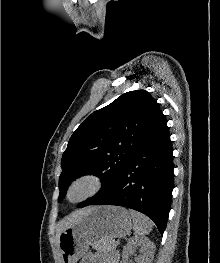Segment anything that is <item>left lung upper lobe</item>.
<instances>
[{
    "mask_svg": "<svg viewBox=\"0 0 220 263\" xmlns=\"http://www.w3.org/2000/svg\"><path fill=\"white\" fill-rule=\"evenodd\" d=\"M164 121L159 104L145 90L126 92L93 112L73 133L63 153L58 200L72 180L93 174L103 186L79 204L87 206L111 187L137 148Z\"/></svg>",
    "mask_w": 220,
    "mask_h": 263,
    "instance_id": "obj_1",
    "label": "left lung upper lobe"
}]
</instances>
